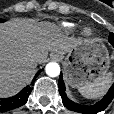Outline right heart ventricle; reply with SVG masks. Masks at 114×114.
Listing matches in <instances>:
<instances>
[{
  "instance_id": "e07e8e85",
  "label": "right heart ventricle",
  "mask_w": 114,
  "mask_h": 114,
  "mask_svg": "<svg viewBox=\"0 0 114 114\" xmlns=\"http://www.w3.org/2000/svg\"><path fill=\"white\" fill-rule=\"evenodd\" d=\"M65 25V27H67V28H72L73 27V25L72 24H69V23H66V24H64Z\"/></svg>"
}]
</instances>
